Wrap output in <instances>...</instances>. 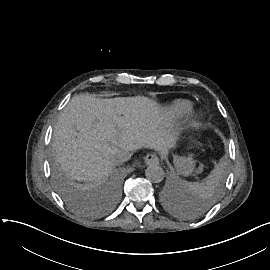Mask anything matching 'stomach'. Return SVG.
I'll use <instances>...</instances> for the list:
<instances>
[{"instance_id":"obj_1","label":"stomach","mask_w":270,"mask_h":270,"mask_svg":"<svg viewBox=\"0 0 270 270\" xmlns=\"http://www.w3.org/2000/svg\"><path fill=\"white\" fill-rule=\"evenodd\" d=\"M174 163H175L177 171L187 176L192 174L195 161L190 155L187 157L175 156ZM201 170H202V167L200 166V168L198 169V172H200Z\"/></svg>"}]
</instances>
